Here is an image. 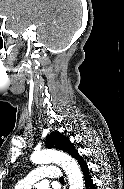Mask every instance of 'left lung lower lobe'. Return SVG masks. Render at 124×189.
Returning a JSON list of instances; mask_svg holds the SVG:
<instances>
[{"label":"left lung lower lobe","mask_w":124,"mask_h":189,"mask_svg":"<svg viewBox=\"0 0 124 189\" xmlns=\"http://www.w3.org/2000/svg\"><path fill=\"white\" fill-rule=\"evenodd\" d=\"M80 165L85 181V189H95L86 161L79 155L74 157Z\"/></svg>","instance_id":"1"}]
</instances>
